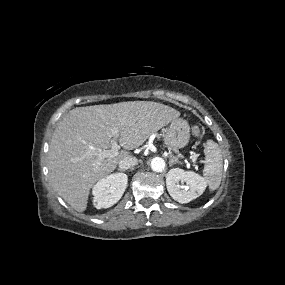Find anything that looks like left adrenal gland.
I'll use <instances>...</instances> for the list:
<instances>
[{"mask_svg": "<svg viewBox=\"0 0 285 285\" xmlns=\"http://www.w3.org/2000/svg\"><path fill=\"white\" fill-rule=\"evenodd\" d=\"M170 158V162H169V165L172 166L173 164H176V163H181L177 157L173 156V155H170L169 156Z\"/></svg>", "mask_w": 285, "mask_h": 285, "instance_id": "obj_1", "label": "left adrenal gland"}]
</instances>
